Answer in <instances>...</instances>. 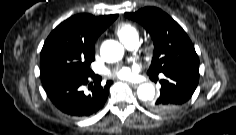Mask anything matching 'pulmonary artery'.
<instances>
[{"label":"pulmonary artery","mask_w":236,"mask_h":135,"mask_svg":"<svg viewBox=\"0 0 236 135\" xmlns=\"http://www.w3.org/2000/svg\"><path fill=\"white\" fill-rule=\"evenodd\" d=\"M138 40H131L130 42L126 43V47L129 49H134L137 46Z\"/></svg>","instance_id":"pulmonary-artery-1"}]
</instances>
